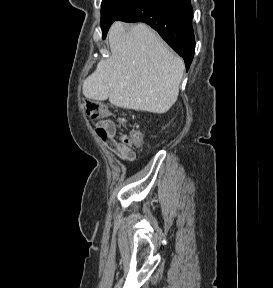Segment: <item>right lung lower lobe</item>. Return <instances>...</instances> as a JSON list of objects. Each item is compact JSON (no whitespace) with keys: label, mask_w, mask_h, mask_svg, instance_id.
<instances>
[{"label":"right lung lower lobe","mask_w":273,"mask_h":288,"mask_svg":"<svg viewBox=\"0 0 273 288\" xmlns=\"http://www.w3.org/2000/svg\"><path fill=\"white\" fill-rule=\"evenodd\" d=\"M190 0H137L118 20L144 22L183 57L189 69L195 52Z\"/></svg>","instance_id":"98d812e1"}]
</instances>
